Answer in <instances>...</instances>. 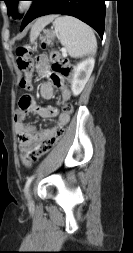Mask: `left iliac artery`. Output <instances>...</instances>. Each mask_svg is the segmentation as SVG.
<instances>
[{
  "instance_id": "left-iliac-artery-1",
  "label": "left iliac artery",
  "mask_w": 133,
  "mask_h": 253,
  "mask_svg": "<svg viewBox=\"0 0 133 253\" xmlns=\"http://www.w3.org/2000/svg\"><path fill=\"white\" fill-rule=\"evenodd\" d=\"M33 179H34V175L30 176L26 181L25 188H24V192H25L26 196H27L28 187L31 184Z\"/></svg>"
}]
</instances>
